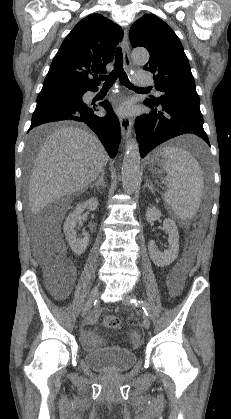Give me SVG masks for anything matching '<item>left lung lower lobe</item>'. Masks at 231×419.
Instances as JSON below:
<instances>
[{
	"mask_svg": "<svg viewBox=\"0 0 231 419\" xmlns=\"http://www.w3.org/2000/svg\"><path fill=\"white\" fill-rule=\"evenodd\" d=\"M200 101L165 100L154 104L148 99L144 104L152 109L136 118L135 130L141 157L157 145L183 134H195L210 145L203 129Z\"/></svg>",
	"mask_w": 231,
	"mask_h": 419,
	"instance_id": "left-lung-lower-lobe-1",
	"label": "left lung lower lobe"
}]
</instances>
